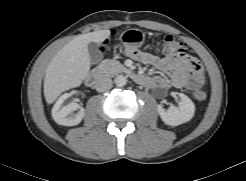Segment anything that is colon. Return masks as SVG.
Listing matches in <instances>:
<instances>
[{"mask_svg": "<svg viewBox=\"0 0 246 181\" xmlns=\"http://www.w3.org/2000/svg\"><path fill=\"white\" fill-rule=\"evenodd\" d=\"M186 49V45L183 42L178 41L172 35H165L163 37L157 38L153 51L156 54H164V55H174L183 52ZM191 69L197 80H201V64L199 61H193L191 63ZM193 97L198 101H203L206 99L207 94L204 90L201 89H193L192 91Z\"/></svg>", "mask_w": 246, "mask_h": 181, "instance_id": "obj_1", "label": "colon"}]
</instances>
